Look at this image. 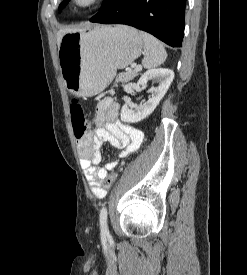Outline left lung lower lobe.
Wrapping results in <instances>:
<instances>
[{"mask_svg": "<svg viewBox=\"0 0 247 275\" xmlns=\"http://www.w3.org/2000/svg\"><path fill=\"white\" fill-rule=\"evenodd\" d=\"M186 0H110L90 22L126 24L181 47Z\"/></svg>", "mask_w": 247, "mask_h": 275, "instance_id": "obj_1", "label": "left lung lower lobe"}]
</instances>
